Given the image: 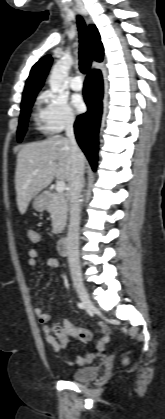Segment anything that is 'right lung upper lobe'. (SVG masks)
Wrapping results in <instances>:
<instances>
[{
  "label": "right lung upper lobe",
  "mask_w": 165,
  "mask_h": 419,
  "mask_svg": "<svg viewBox=\"0 0 165 419\" xmlns=\"http://www.w3.org/2000/svg\"><path fill=\"white\" fill-rule=\"evenodd\" d=\"M89 35L92 49V56L96 61L101 62L104 49L100 40L99 32L95 25L89 26ZM52 62L51 56L41 58L31 69L23 91L22 101L36 95L43 86Z\"/></svg>",
  "instance_id": "cb5924a9"
}]
</instances>
